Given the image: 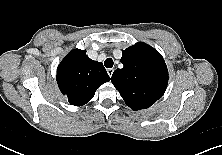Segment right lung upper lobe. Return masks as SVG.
<instances>
[{"label":"right lung upper lobe","mask_w":222,"mask_h":155,"mask_svg":"<svg viewBox=\"0 0 222 155\" xmlns=\"http://www.w3.org/2000/svg\"><path fill=\"white\" fill-rule=\"evenodd\" d=\"M109 80L103 64L91 60L86 55V50H72L57 68L60 91L74 106L86 104L93 98L96 90Z\"/></svg>","instance_id":"right-lung-upper-lobe-1"}]
</instances>
